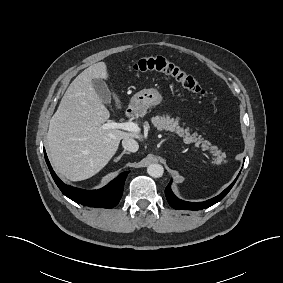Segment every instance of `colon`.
<instances>
[{
  "label": "colon",
  "mask_w": 283,
  "mask_h": 283,
  "mask_svg": "<svg viewBox=\"0 0 283 283\" xmlns=\"http://www.w3.org/2000/svg\"><path fill=\"white\" fill-rule=\"evenodd\" d=\"M133 69L137 72H158L170 76L187 91L199 96L206 95V90L197 79L163 57H142L133 64Z\"/></svg>",
  "instance_id": "colon-1"
}]
</instances>
